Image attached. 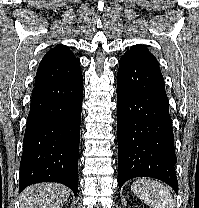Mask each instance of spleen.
Masks as SVG:
<instances>
[{"label": "spleen", "instance_id": "spleen-1", "mask_svg": "<svg viewBox=\"0 0 199 208\" xmlns=\"http://www.w3.org/2000/svg\"><path fill=\"white\" fill-rule=\"evenodd\" d=\"M131 190L139 199L152 208L175 207V201L169 189L158 181L140 179L131 185Z\"/></svg>", "mask_w": 199, "mask_h": 208}]
</instances>
